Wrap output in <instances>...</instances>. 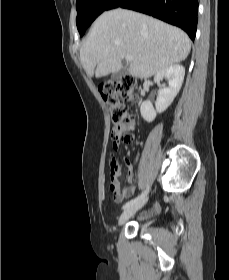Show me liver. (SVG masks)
<instances>
[{
    "instance_id": "liver-1",
    "label": "liver",
    "mask_w": 229,
    "mask_h": 280,
    "mask_svg": "<svg viewBox=\"0 0 229 280\" xmlns=\"http://www.w3.org/2000/svg\"><path fill=\"white\" fill-rule=\"evenodd\" d=\"M191 41L181 29L125 9L102 13L93 23L81 49L87 75L97 78L116 73L122 60L133 57L129 72L147 79L186 59Z\"/></svg>"
}]
</instances>
